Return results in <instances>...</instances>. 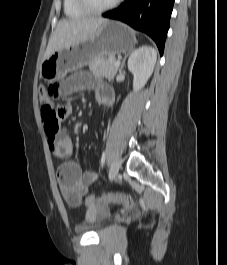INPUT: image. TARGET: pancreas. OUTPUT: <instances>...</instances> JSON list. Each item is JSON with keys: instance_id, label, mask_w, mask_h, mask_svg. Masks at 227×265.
Listing matches in <instances>:
<instances>
[{"instance_id": "pancreas-1", "label": "pancreas", "mask_w": 227, "mask_h": 265, "mask_svg": "<svg viewBox=\"0 0 227 265\" xmlns=\"http://www.w3.org/2000/svg\"><path fill=\"white\" fill-rule=\"evenodd\" d=\"M114 57H99L89 63V69L96 76L105 77L109 80L114 79L117 74L118 66L115 65Z\"/></svg>"}]
</instances>
